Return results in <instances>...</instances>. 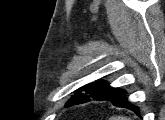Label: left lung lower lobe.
Segmentation results:
<instances>
[{"label":"left lung lower lobe","instance_id":"left-lung-lower-lobe-1","mask_svg":"<svg viewBox=\"0 0 165 120\" xmlns=\"http://www.w3.org/2000/svg\"><path fill=\"white\" fill-rule=\"evenodd\" d=\"M103 100L110 101L114 106L124 107L134 111L137 114L139 113L138 107L127 101L126 97L124 96V90L122 89H117L113 94Z\"/></svg>","mask_w":165,"mask_h":120}]
</instances>
